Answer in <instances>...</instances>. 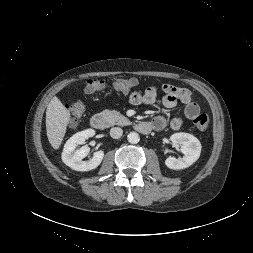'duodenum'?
<instances>
[{
  "label": "duodenum",
  "mask_w": 253,
  "mask_h": 253,
  "mask_svg": "<svg viewBox=\"0 0 253 253\" xmlns=\"http://www.w3.org/2000/svg\"><path fill=\"white\" fill-rule=\"evenodd\" d=\"M90 124L93 128L102 130L107 126V119L103 114L97 113L91 117ZM135 129L140 133L146 134L153 129V125L150 122H139L135 124Z\"/></svg>",
  "instance_id": "1"
}]
</instances>
